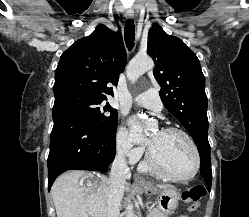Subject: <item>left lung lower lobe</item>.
<instances>
[{"label": "left lung lower lobe", "mask_w": 249, "mask_h": 217, "mask_svg": "<svg viewBox=\"0 0 249 217\" xmlns=\"http://www.w3.org/2000/svg\"><path fill=\"white\" fill-rule=\"evenodd\" d=\"M201 176H202V179H203L207 189L210 191L211 190V181H212V172L211 173L202 172Z\"/></svg>", "instance_id": "left-lung-lower-lobe-1"}]
</instances>
